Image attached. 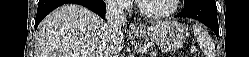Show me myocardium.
Returning a JSON list of instances; mask_svg holds the SVG:
<instances>
[{"label":"myocardium","instance_id":"obj_1","mask_svg":"<svg viewBox=\"0 0 249 57\" xmlns=\"http://www.w3.org/2000/svg\"><path fill=\"white\" fill-rule=\"evenodd\" d=\"M142 1L143 0H140L137 2V8H138L139 13L142 16H144L148 19H152V20H160V19H164V18L171 16L177 10L179 2H180L179 0H172V6L169 10L164 11V12H160V13H150V12L145 10V8L142 4Z\"/></svg>","mask_w":249,"mask_h":57}]
</instances>
